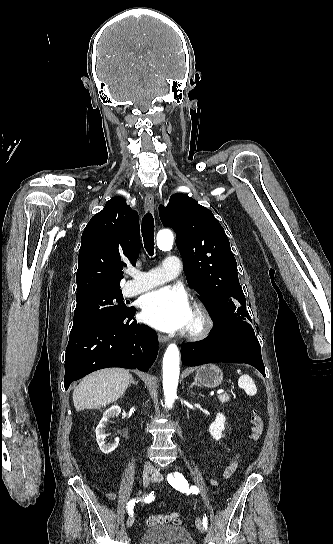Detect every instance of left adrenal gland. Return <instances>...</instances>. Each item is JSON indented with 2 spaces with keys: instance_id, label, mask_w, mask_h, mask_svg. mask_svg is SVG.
<instances>
[{
  "instance_id": "obj_1",
  "label": "left adrenal gland",
  "mask_w": 333,
  "mask_h": 544,
  "mask_svg": "<svg viewBox=\"0 0 333 544\" xmlns=\"http://www.w3.org/2000/svg\"><path fill=\"white\" fill-rule=\"evenodd\" d=\"M193 386H199V387H201V385L197 382V379H196V378L194 379V382L190 385V388H192Z\"/></svg>"
}]
</instances>
